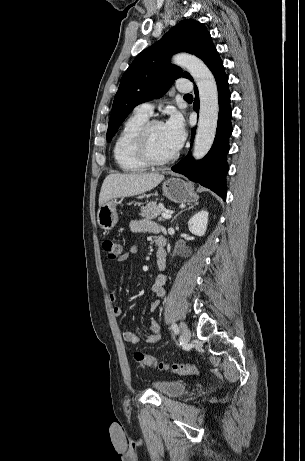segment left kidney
Here are the masks:
<instances>
[{
    "mask_svg": "<svg viewBox=\"0 0 305 461\" xmlns=\"http://www.w3.org/2000/svg\"><path fill=\"white\" fill-rule=\"evenodd\" d=\"M208 212L200 211L196 213L188 222L189 231L197 236H203L208 225Z\"/></svg>",
    "mask_w": 305,
    "mask_h": 461,
    "instance_id": "left-kidney-1",
    "label": "left kidney"
}]
</instances>
